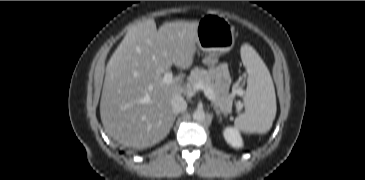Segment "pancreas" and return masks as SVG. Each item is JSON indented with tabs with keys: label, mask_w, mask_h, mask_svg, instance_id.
Returning <instances> with one entry per match:
<instances>
[{
	"label": "pancreas",
	"mask_w": 365,
	"mask_h": 180,
	"mask_svg": "<svg viewBox=\"0 0 365 180\" xmlns=\"http://www.w3.org/2000/svg\"><path fill=\"white\" fill-rule=\"evenodd\" d=\"M189 81L193 87H196L198 84H203L210 88L216 97L214 104L224 113L231 111L233 99L228 93V88L216 82L207 70L198 67L194 68L191 71Z\"/></svg>",
	"instance_id": "1"
}]
</instances>
